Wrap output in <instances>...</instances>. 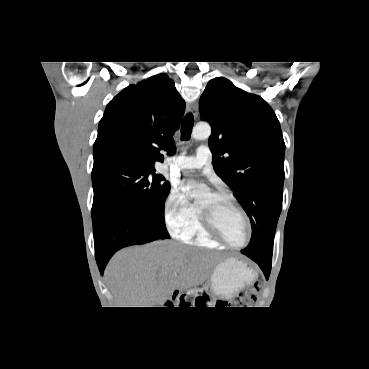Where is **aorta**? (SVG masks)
Masks as SVG:
<instances>
[{"label": "aorta", "mask_w": 369, "mask_h": 369, "mask_svg": "<svg viewBox=\"0 0 369 369\" xmlns=\"http://www.w3.org/2000/svg\"><path fill=\"white\" fill-rule=\"evenodd\" d=\"M211 135V127L209 124L200 123L197 124L192 130V137L196 140H204L209 138ZM208 188L205 184L199 183H191L190 189L188 190L187 194L193 198L202 197Z\"/></svg>", "instance_id": "762f6f07"}]
</instances>
